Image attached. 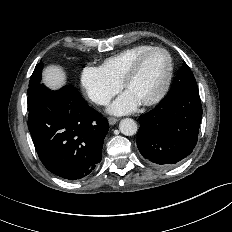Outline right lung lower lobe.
<instances>
[{"instance_id":"obj_1","label":"right lung lower lobe","mask_w":232,"mask_h":232,"mask_svg":"<svg viewBox=\"0 0 232 232\" xmlns=\"http://www.w3.org/2000/svg\"><path fill=\"white\" fill-rule=\"evenodd\" d=\"M28 128L43 165L59 177L78 180L101 161L109 124L67 85L57 91L45 87L36 96Z\"/></svg>"}]
</instances>
